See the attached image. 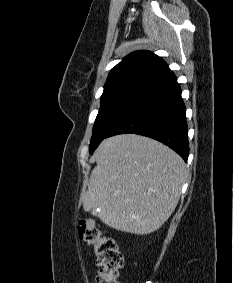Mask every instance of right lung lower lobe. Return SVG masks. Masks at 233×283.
<instances>
[{"label":"right lung lower lobe","instance_id":"1","mask_svg":"<svg viewBox=\"0 0 233 283\" xmlns=\"http://www.w3.org/2000/svg\"><path fill=\"white\" fill-rule=\"evenodd\" d=\"M185 105L171 71L154 79L109 130L107 137L135 133L158 140L185 161L189 154Z\"/></svg>","mask_w":233,"mask_h":283}]
</instances>
